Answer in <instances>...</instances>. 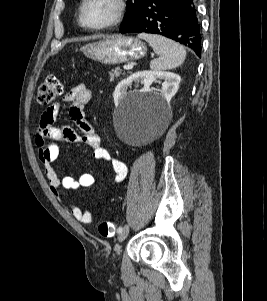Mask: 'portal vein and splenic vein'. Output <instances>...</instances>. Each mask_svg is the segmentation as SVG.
<instances>
[{"mask_svg": "<svg viewBox=\"0 0 267 301\" xmlns=\"http://www.w3.org/2000/svg\"><path fill=\"white\" fill-rule=\"evenodd\" d=\"M132 67H133L132 65H125V66H124V69L128 71V70H131Z\"/></svg>", "mask_w": 267, "mask_h": 301, "instance_id": "18ae733b", "label": "portal vein and splenic vein"}]
</instances>
